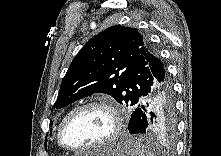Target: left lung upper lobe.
<instances>
[{
    "instance_id": "left-lung-upper-lobe-1",
    "label": "left lung upper lobe",
    "mask_w": 221,
    "mask_h": 156,
    "mask_svg": "<svg viewBox=\"0 0 221 156\" xmlns=\"http://www.w3.org/2000/svg\"><path fill=\"white\" fill-rule=\"evenodd\" d=\"M165 66L136 28L115 25L91 38L73 59L64 76L54 108L106 93L126 106H135L150 91V80Z\"/></svg>"
}]
</instances>
